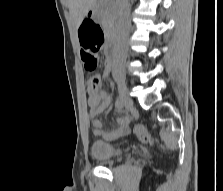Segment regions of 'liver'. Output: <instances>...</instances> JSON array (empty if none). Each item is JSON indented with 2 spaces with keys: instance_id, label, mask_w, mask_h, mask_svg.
I'll return each instance as SVG.
<instances>
[{
  "instance_id": "1",
  "label": "liver",
  "mask_w": 223,
  "mask_h": 191,
  "mask_svg": "<svg viewBox=\"0 0 223 191\" xmlns=\"http://www.w3.org/2000/svg\"><path fill=\"white\" fill-rule=\"evenodd\" d=\"M68 8L76 28H78L87 13L93 9L97 0H68Z\"/></svg>"
}]
</instances>
